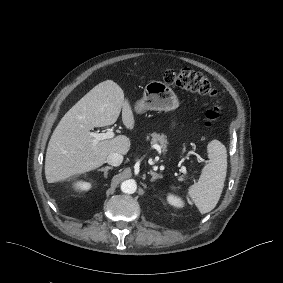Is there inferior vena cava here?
Here are the masks:
<instances>
[{
  "label": "inferior vena cava",
  "mask_w": 283,
  "mask_h": 283,
  "mask_svg": "<svg viewBox=\"0 0 283 283\" xmlns=\"http://www.w3.org/2000/svg\"><path fill=\"white\" fill-rule=\"evenodd\" d=\"M123 161V156L118 153H110L107 156V163L112 166H119Z\"/></svg>",
  "instance_id": "602c4592"
}]
</instances>
